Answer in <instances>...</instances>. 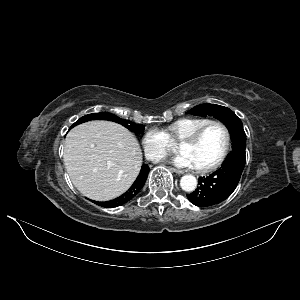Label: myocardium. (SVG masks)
<instances>
[{
	"mask_svg": "<svg viewBox=\"0 0 300 300\" xmlns=\"http://www.w3.org/2000/svg\"><path fill=\"white\" fill-rule=\"evenodd\" d=\"M214 125H218V126L222 127V129L225 132L226 140H225L224 150H223L221 156L215 162H213L212 164H210L208 166H205V167L196 168V170L199 173L212 172V171L218 169L224 163V161L227 159V157L229 155V152H230V148H231V133H230V130H229L228 126L222 121L211 120L210 122L206 123L205 125H203L199 129H197L190 136H188L187 138L182 140V144L194 145L201 139V137L206 132V130L209 127L214 126Z\"/></svg>",
	"mask_w": 300,
	"mask_h": 300,
	"instance_id": "myocardium-1",
	"label": "myocardium"
}]
</instances>
